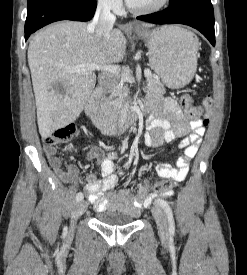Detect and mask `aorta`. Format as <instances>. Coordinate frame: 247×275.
<instances>
[{
    "label": "aorta",
    "instance_id": "762f6f07",
    "mask_svg": "<svg viewBox=\"0 0 247 275\" xmlns=\"http://www.w3.org/2000/svg\"><path fill=\"white\" fill-rule=\"evenodd\" d=\"M129 111V103L127 102L123 109L121 110L120 117H119V126L123 127L125 124L126 118H127V113Z\"/></svg>",
    "mask_w": 247,
    "mask_h": 275
}]
</instances>
